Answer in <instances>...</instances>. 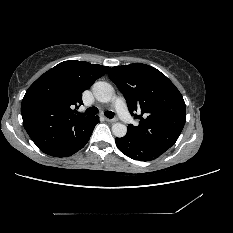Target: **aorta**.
I'll list each match as a JSON object with an SVG mask.
<instances>
[{"instance_id":"obj_1","label":"aorta","mask_w":233,"mask_h":233,"mask_svg":"<svg viewBox=\"0 0 233 233\" xmlns=\"http://www.w3.org/2000/svg\"><path fill=\"white\" fill-rule=\"evenodd\" d=\"M92 90L95 98L102 103L109 102L114 94L113 87L109 83L103 81L94 83ZM112 132L116 137L121 138L126 135L127 127L122 123H114L112 125Z\"/></svg>"}]
</instances>
